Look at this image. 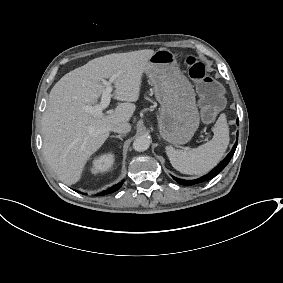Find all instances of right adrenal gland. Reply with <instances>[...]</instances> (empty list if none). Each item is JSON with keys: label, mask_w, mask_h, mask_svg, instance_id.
I'll return each instance as SVG.
<instances>
[{"label": "right adrenal gland", "mask_w": 283, "mask_h": 283, "mask_svg": "<svg viewBox=\"0 0 283 283\" xmlns=\"http://www.w3.org/2000/svg\"><path fill=\"white\" fill-rule=\"evenodd\" d=\"M126 136V134H119V135H111L110 138H119L120 140H123L122 137Z\"/></svg>", "instance_id": "obj_1"}]
</instances>
